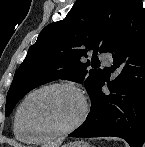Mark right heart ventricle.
Masks as SVG:
<instances>
[{
	"mask_svg": "<svg viewBox=\"0 0 145 147\" xmlns=\"http://www.w3.org/2000/svg\"><path fill=\"white\" fill-rule=\"evenodd\" d=\"M14 134H15V137L20 140V141H23V142H34V141H39V139L35 138L34 136L28 134V133H25L23 132L18 124H17V121H16V116H15V119H14Z\"/></svg>",
	"mask_w": 145,
	"mask_h": 147,
	"instance_id": "obj_1",
	"label": "right heart ventricle"
}]
</instances>
